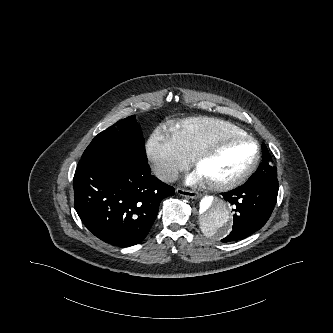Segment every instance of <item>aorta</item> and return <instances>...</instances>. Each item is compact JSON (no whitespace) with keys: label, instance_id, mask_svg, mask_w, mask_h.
<instances>
[{"label":"aorta","instance_id":"1","mask_svg":"<svg viewBox=\"0 0 333 333\" xmlns=\"http://www.w3.org/2000/svg\"><path fill=\"white\" fill-rule=\"evenodd\" d=\"M196 219L204 234L221 236L231 225L229 204L221 196H205L198 203Z\"/></svg>","mask_w":333,"mask_h":333}]
</instances>
